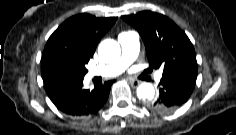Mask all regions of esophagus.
I'll return each instance as SVG.
<instances>
[{
  "label": "esophagus",
  "instance_id": "obj_1",
  "mask_svg": "<svg viewBox=\"0 0 236 135\" xmlns=\"http://www.w3.org/2000/svg\"><path fill=\"white\" fill-rule=\"evenodd\" d=\"M127 80L129 84L132 85L133 87H137L140 84V81L132 79V78H128Z\"/></svg>",
  "mask_w": 236,
  "mask_h": 135
}]
</instances>
